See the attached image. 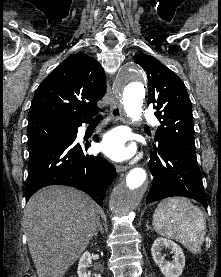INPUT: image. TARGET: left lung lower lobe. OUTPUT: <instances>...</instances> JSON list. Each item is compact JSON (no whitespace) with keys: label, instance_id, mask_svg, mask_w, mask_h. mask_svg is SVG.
Segmentation results:
<instances>
[{"label":"left lung lower lobe","instance_id":"0a47b994","mask_svg":"<svg viewBox=\"0 0 221 277\" xmlns=\"http://www.w3.org/2000/svg\"><path fill=\"white\" fill-rule=\"evenodd\" d=\"M149 161L153 176L146 204L166 197L184 196L199 201L207 210L202 176L196 158L177 147L154 142Z\"/></svg>","mask_w":221,"mask_h":277}]
</instances>
